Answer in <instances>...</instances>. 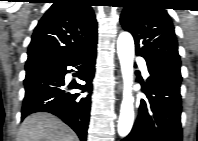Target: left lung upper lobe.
<instances>
[{"mask_svg":"<svg viewBox=\"0 0 198 141\" xmlns=\"http://www.w3.org/2000/svg\"><path fill=\"white\" fill-rule=\"evenodd\" d=\"M120 16L125 31L135 40L136 53L150 65L180 69L181 61L172 21L158 0H130Z\"/></svg>","mask_w":198,"mask_h":141,"instance_id":"left-lung-upper-lobe-1","label":"left lung upper lobe"}]
</instances>
